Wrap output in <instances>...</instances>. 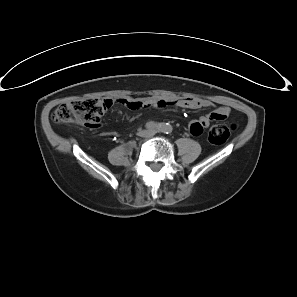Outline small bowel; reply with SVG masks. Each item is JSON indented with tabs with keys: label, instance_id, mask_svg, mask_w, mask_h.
I'll list each match as a JSON object with an SVG mask.
<instances>
[{
	"label": "small bowel",
	"instance_id": "c3829d8e",
	"mask_svg": "<svg viewBox=\"0 0 297 297\" xmlns=\"http://www.w3.org/2000/svg\"><path fill=\"white\" fill-rule=\"evenodd\" d=\"M118 103L128 107L132 110L142 108L154 107L165 108L174 106L184 109H200L210 107L212 104L208 100L198 98H177V99H160L155 100L152 98L133 99L122 98L117 100ZM230 114V109L227 106H219L212 113L201 116L198 120H193L189 124V129L192 135L198 136L203 132V129L208 127L213 121H223ZM84 128L90 131H101L103 124L96 121H86Z\"/></svg>",
	"mask_w": 297,
	"mask_h": 297
}]
</instances>
